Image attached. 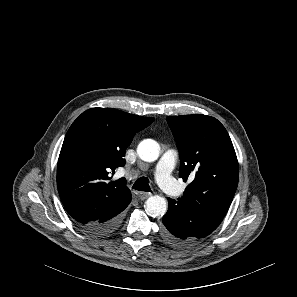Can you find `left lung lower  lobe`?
<instances>
[{"mask_svg":"<svg viewBox=\"0 0 297 297\" xmlns=\"http://www.w3.org/2000/svg\"><path fill=\"white\" fill-rule=\"evenodd\" d=\"M169 208L162 221V236L166 242L176 247H188L199 239L190 235L187 228L189 213L180 201L168 198ZM201 239V238H200Z\"/></svg>","mask_w":297,"mask_h":297,"instance_id":"1","label":"left lung lower lobe"}]
</instances>
